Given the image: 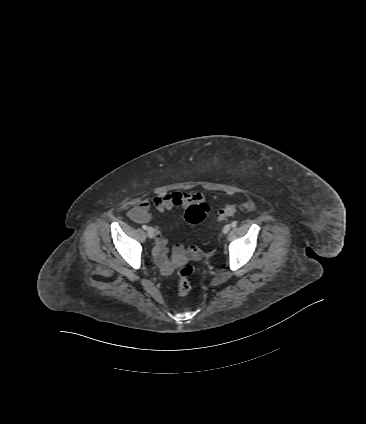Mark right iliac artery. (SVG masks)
I'll list each match as a JSON object with an SVG mask.
<instances>
[{
    "label": "right iliac artery",
    "instance_id": "1",
    "mask_svg": "<svg viewBox=\"0 0 366 424\" xmlns=\"http://www.w3.org/2000/svg\"><path fill=\"white\" fill-rule=\"evenodd\" d=\"M142 228H143L144 230L148 229V227H147L146 225H143V226H142Z\"/></svg>",
    "mask_w": 366,
    "mask_h": 424
}]
</instances>
